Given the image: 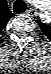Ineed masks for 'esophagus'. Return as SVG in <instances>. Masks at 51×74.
Segmentation results:
<instances>
[{"mask_svg":"<svg viewBox=\"0 0 51 74\" xmlns=\"http://www.w3.org/2000/svg\"><path fill=\"white\" fill-rule=\"evenodd\" d=\"M27 13H28L29 15H32V16L36 15V11H35L34 9H32V8L28 9V10H27Z\"/></svg>","mask_w":51,"mask_h":74,"instance_id":"esophagus-1","label":"esophagus"}]
</instances>
